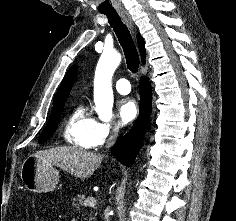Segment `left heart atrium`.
Returning <instances> with one entry per match:
<instances>
[{"instance_id":"1","label":"left heart atrium","mask_w":236,"mask_h":221,"mask_svg":"<svg viewBox=\"0 0 236 221\" xmlns=\"http://www.w3.org/2000/svg\"><path fill=\"white\" fill-rule=\"evenodd\" d=\"M137 115L135 102L130 98H123L118 102V117L121 124H128L134 120Z\"/></svg>"}]
</instances>
